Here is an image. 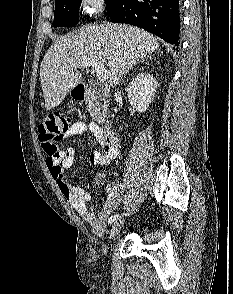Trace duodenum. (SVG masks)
Wrapping results in <instances>:
<instances>
[{
	"mask_svg": "<svg viewBox=\"0 0 233 294\" xmlns=\"http://www.w3.org/2000/svg\"><path fill=\"white\" fill-rule=\"evenodd\" d=\"M74 94L77 100L86 101L90 97L91 91L86 86L79 85L75 88ZM102 131L105 139L110 143H116L118 141V135L116 131L108 122L103 123Z\"/></svg>",
	"mask_w": 233,
	"mask_h": 294,
	"instance_id": "duodenum-1",
	"label": "duodenum"
}]
</instances>
